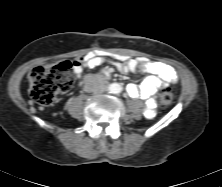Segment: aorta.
Wrapping results in <instances>:
<instances>
[{
	"instance_id": "1",
	"label": "aorta",
	"mask_w": 222,
	"mask_h": 187,
	"mask_svg": "<svg viewBox=\"0 0 222 187\" xmlns=\"http://www.w3.org/2000/svg\"><path fill=\"white\" fill-rule=\"evenodd\" d=\"M109 90L111 93L117 94L121 92L122 88L118 83H114L110 86Z\"/></svg>"
}]
</instances>
